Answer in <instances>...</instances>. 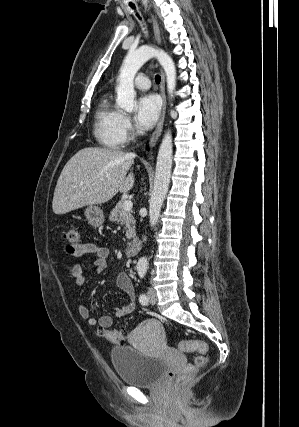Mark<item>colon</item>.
I'll list each match as a JSON object with an SVG mask.
<instances>
[{
    "instance_id": "5ec220e1",
    "label": "colon",
    "mask_w": 299,
    "mask_h": 427,
    "mask_svg": "<svg viewBox=\"0 0 299 427\" xmlns=\"http://www.w3.org/2000/svg\"><path fill=\"white\" fill-rule=\"evenodd\" d=\"M63 240L70 245H77L80 242V228L72 226L63 232ZM99 335L111 342L122 344L126 340V333L115 329L99 330ZM178 348L182 352H198L193 364H185L177 373L174 387L177 391L183 392L188 387L191 380L196 375L200 368H203L207 363L208 346L202 341L183 340L179 343Z\"/></svg>"
}]
</instances>
